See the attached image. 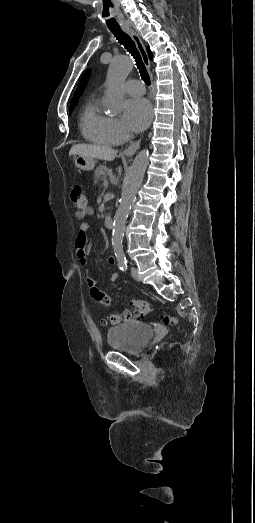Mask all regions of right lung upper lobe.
Wrapping results in <instances>:
<instances>
[{"label": "right lung upper lobe", "mask_w": 255, "mask_h": 523, "mask_svg": "<svg viewBox=\"0 0 255 523\" xmlns=\"http://www.w3.org/2000/svg\"><path fill=\"white\" fill-rule=\"evenodd\" d=\"M147 51H148V54H149L150 59H152V53H151L150 49L147 48Z\"/></svg>", "instance_id": "obj_1"}]
</instances>
